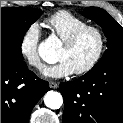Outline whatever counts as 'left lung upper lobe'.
<instances>
[{"label": "left lung upper lobe", "mask_w": 123, "mask_h": 123, "mask_svg": "<svg viewBox=\"0 0 123 123\" xmlns=\"http://www.w3.org/2000/svg\"><path fill=\"white\" fill-rule=\"evenodd\" d=\"M103 28L107 37V50L97 63L123 57V28L105 10L98 7H87L81 12Z\"/></svg>", "instance_id": "5c2ea615"}]
</instances>
